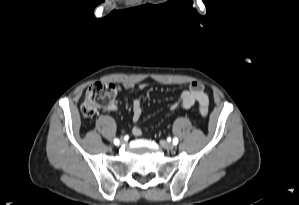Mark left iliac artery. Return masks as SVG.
I'll return each instance as SVG.
<instances>
[{"instance_id": "44dca946", "label": "left iliac artery", "mask_w": 299, "mask_h": 205, "mask_svg": "<svg viewBox=\"0 0 299 205\" xmlns=\"http://www.w3.org/2000/svg\"><path fill=\"white\" fill-rule=\"evenodd\" d=\"M177 143H178V139L175 137V138L173 139V144L176 145Z\"/></svg>"}]
</instances>
